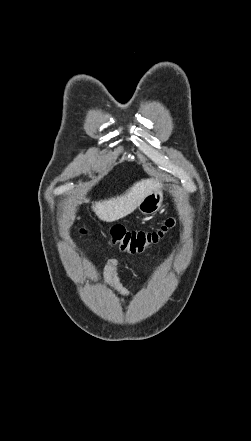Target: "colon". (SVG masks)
<instances>
[{
	"mask_svg": "<svg viewBox=\"0 0 251 441\" xmlns=\"http://www.w3.org/2000/svg\"><path fill=\"white\" fill-rule=\"evenodd\" d=\"M175 226V219L168 218L154 230H128L124 226L114 225L110 228V240L121 251L141 253L148 247L159 243Z\"/></svg>",
	"mask_w": 251,
	"mask_h": 441,
	"instance_id": "obj_1",
	"label": "colon"
}]
</instances>
